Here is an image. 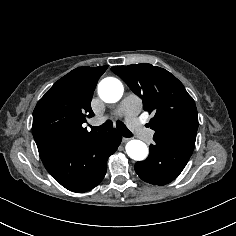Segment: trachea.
<instances>
[{"mask_svg":"<svg viewBox=\"0 0 236 236\" xmlns=\"http://www.w3.org/2000/svg\"><path fill=\"white\" fill-rule=\"evenodd\" d=\"M113 126V123L111 120H107L105 123H103L102 125L100 126H97V127H94V126H91V129L92 130H95V131H100V132H105V131H109ZM116 127H117V130L124 136V137H132L133 134L127 129L126 125L121 122V121H118L117 124H116Z\"/></svg>","mask_w":236,"mask_h":236,"instance_id":"1","label":"trachea"}]
</instances>
